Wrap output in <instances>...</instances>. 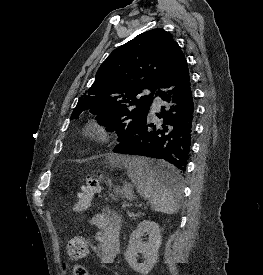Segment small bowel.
Returning a JSON list of instances; mask_svg holds the SVG:
<instances>
[{"label": "small bowel", "instance_id": "small-bowel-1", "mask_svg": "<svg viewBox=\"0 0 263 275\" xmlns=\"http://www.w3.org/2000/svg\"><path fill=\"white\" fill-rule=\"evenodd\" d=\"M90 224L97 229L101 247V261L112 263L120 251L122 218L110 208H103L92 216Z\"/></svg>", "mask_w": 263, "mask_h": 275}]
</instances>
